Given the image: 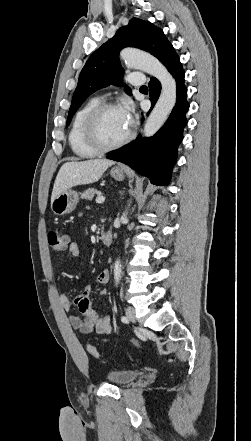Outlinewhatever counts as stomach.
I'll list each match as a JSON object with an SVG mask.
<instances>
[{"instance_id": "1", "label": "stomach", "mask_w": 251, "mask_h": 441, "mask_svg": "<svg viewBox=\"0 0 251 441\" xmlns=\"http://www.w3.org/2000/svg\"><path fill=\"white\" fill-rule=\"evenodd\" d=\"M110 175L117 181L124 179V171L118 167L112 168ZM78 201V193L69 189L51 201V210L55 215H64L72 212L76 208Z\"/></svg>"}]
</instances>
